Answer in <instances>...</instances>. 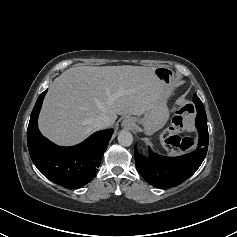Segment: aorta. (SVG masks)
<instances>
[{"label":"aorta","instance_id":"1","mask_svg":"<svg viewBox=\"0 0 237 237\" xmlns=\"http://www.w3.org/2000/svg\"><path fill=\"white\" fill-rule=\"evenodd\" d=\"M120 145L128 147L133 143V136L129 131H121L118 135Z\"/></svg>","mask_w":237,"mask_h":237}]
</instances>
